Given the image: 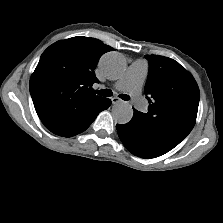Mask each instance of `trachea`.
I'll use <instances>...</instances> for the list:
<instances>
[{"label": "trachea", "instance_id": "1", "mask_svg": "<svg viewBox=\"0 0 223 223\" xmlns=\"http://www.w3.org/2000/svg\"><path fill=\"white\" fill-rule=\"evenodd\" d=\"M96 93L104 97H110L113 94L110 89L99 90V91H96ZM119 97L125 101H128L130 99L129 95H126V94H120Z\"/></svg>", "mask_w": 223, "mask_h": 223}]
</instances>
